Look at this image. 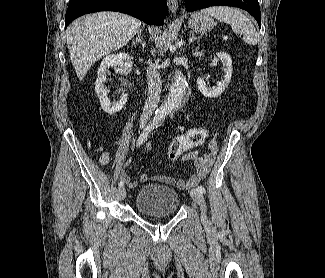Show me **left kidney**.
Here are the masks:
<instances>
[{
    "instance_id": "5707ae66",
    "label": "left kidney",
    "mask_w": 325,
    "mask_h": 278,
    "mask_svg": "<svg viewBox=\"0 0 325 278\" xmlns=\"http://www.w3.org/2000/svg\"><path fill=\"white\" fill-rule=\"evenodd\" d=\"M218 58L222 61L224 66V77L220 82H217L216 87H208L204 79L199 77L197 85L200 92L208 98H216L220 96L228 86L232 76V59L230 55L224 52L217 53Z\"/></svg>"
}]
</instances>
